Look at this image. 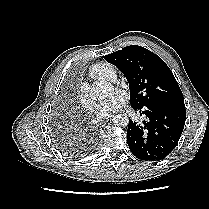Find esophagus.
Instances as JSON below:
<instances>
[{"label":"esophagus","instance_id":"34e87169","mask_svg":"<svg viewBox=\"0 0 209 209\" xmlns=\"http://www.w3.org/2000/svg\"><path fill=\"white\" fill-rule=\"evenodd\" d=\"M108 120H106V121H102L101 123H100V125L102 126V127H104V126H106L107 124H108Z\"/></svg>","mask_w":209,"mask_h":209}]
</instances>
